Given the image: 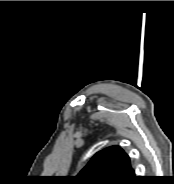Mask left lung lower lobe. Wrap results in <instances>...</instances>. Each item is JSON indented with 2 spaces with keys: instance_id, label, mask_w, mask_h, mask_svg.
Listing matches in <instances>:
<instances>
[{
  "instance_id": "1",
  "label": "left lung lower lobe",
  "mask_w": 174,
  "mask_h": 184,
  "mask_svg": "<svg viewBox=\"0 0 174 184\" xmlns=\"http://www.w3.org/2000/svg\"><path fill=\"white\" fill-rule=\"evenodd\" d=\"M137 179H136V177H134V179L130 182V183H132V182H134V181H136Z\"/></svg>"
}]
</instances>
